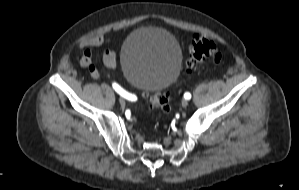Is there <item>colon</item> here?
<instances>
[{
	"instance_id": "5ec220e1",
	"label": "colon",
	"mask_w": 299,
	"mask_h": 190,
	"mask_svg": "<svg viewBox=\"0 0 299 190\" xmlns=\"http://www.w3.org/2000/svg\"><path fill=\"white\" fill-rule=\"evenodd\" d=\"M223 56V49L216 43L205 38L196 37L190 46L186 68L188 71H192L209 61L219 63ZM81 63L90 73L95 71V66L90 56H83ZM145 96L152 109L163 112L169 111V95L167 92L146 93Z\"/></svg>"
}]
</instances>
